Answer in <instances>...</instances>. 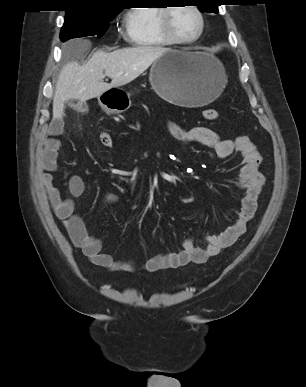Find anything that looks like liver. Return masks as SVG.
I'll use <instances>...</instances> for the list:
<instances>
[{
    "label": "liver",
    "mask_w": 306,
    "mask_h": 387,
    "mask_svg": "<svg viewBox=\"0 0 306 387\" xmlns=\"http://www.w3.org/2000/svg\"><path fill=\"white\" fill-rule=\"evenodd\" d=\"M168 48L137 46L113 52L96 51L84 65L67 63L59 73L53 97V119H61L64 102H86L105 91L130 83L146 71ZM111 83L104 82L105 77Z\"/></svg>",
    "instance_id": "obj_1"
}]
</instances>
